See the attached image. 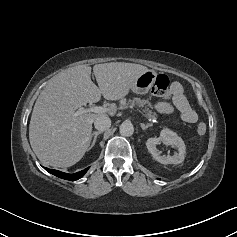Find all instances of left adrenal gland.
Segmentation results:
<instances>
[{"label": "left adrenal gland", "instance_id": "left-adrenal-gland-1", "mask_svg": "<svg viewBox=\"0 0 237 237\" xmlns=\"http://www.w3.org/2000/svg\"><path fill=\"white\" fill-rule=\"evenodd\" d=\"M140 126H141L142 130H146L148 127L152 126V124L145 125V124L141 123Z\"/></svg>", "mask_w": 237, "mask_h": 237}]
</instances>
